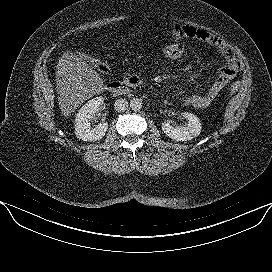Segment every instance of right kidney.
<instances>
[{
    "mask_svg": "<svg viewBox=\"0 0 272 272\" xmlns=\"http://www.w3.org/2000/svg\"><path fill=\"white\" fill-rule=\"evenodd\" d=\"M104 103L102 96L95 97L86 102L75 118V135L78 139L83 141H97L103 138L108 130V123L106 121L100 122L94 128L91 127V121L99 112L100 107Z\"/></svg>",
    "mask_w": 272,
    "mask_h": 272,
    "instance_id": "1",
    "label": "right kidney"
}]
</instances>
